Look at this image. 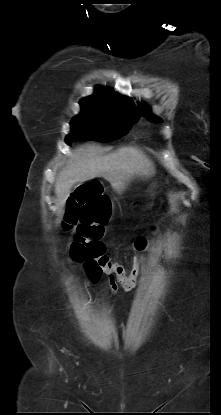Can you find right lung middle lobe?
<instances>
[{"label": "right lung middle lobe", "mask_w": 221, "mask_h": 415, "mask_svg": "<svg viewBox=\"0 0 221 415\" xmlns=\"http://www.w3.org/2000/svg\"><path fill=\"white\" fill-rule=\"evenodd\" d=\"M137 113L123 109L81 105V112L71 121V133L65 141H112L124 136L139 120Z\"/></svg>", "instance_id": "right-lung-middle-lobe-1"}]
</instances>
